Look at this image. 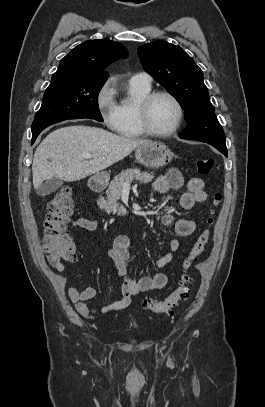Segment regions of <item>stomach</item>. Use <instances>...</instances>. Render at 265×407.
Here are the masks:
<instances>
[{
  "mask_svg": "<svg viewBox=\"0 0 265 407\" xmlns=\"http://www.w3.org/2000/svg\"><path fill=\"white\" fill-rule=\"evenodd\" d=\"M135 158L145 167L160 168L172 161L173 153L165 144L151 141L136 148ZM91 180L97 185H105L109 175L106 172H99L94 174Z\"/></svg>",
  "mask_w": 265,
  "mask_h": 407,
  "instance_id": "stomach-1",
  "label": "stomach"
}]
</instances>
